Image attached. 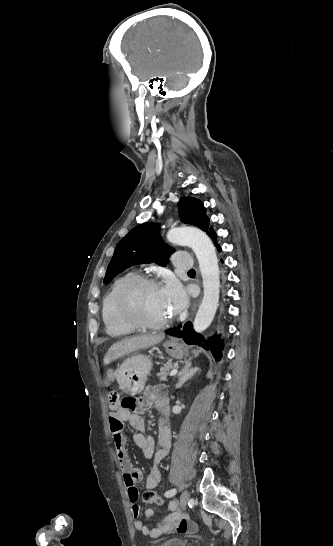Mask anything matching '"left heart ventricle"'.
Wrapping results in <instances>:
<instances>
[{
    "mask_svg": "<svg viewBox=\"0 0 333 546\" xmlns=\"http://www.w3.org/2000/svg\"><path fill=\"white\" fill-rule=\"evenodd\" d=\"M137 307L141 316L150 322H161L171 316L160 287L145 288L138 296Z\"/></svg>",
    "mask_w": 333,
    "mask_h": 546,
    "instance_id": "b2bd125f",
    "label": "left heart ventricle"
}]
</instances>
